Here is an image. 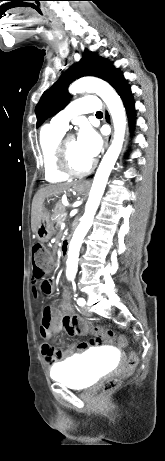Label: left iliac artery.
I'll return each mask as SVG.
<instances>
[{"label":"left iliac artery","mask_w":165,"mask_h":461,"mask_svg":"<svg viewBox=\"0 0 165 461\" xmlns=\"http://www.w3.org/2000/svg\"><path fill=\"white\" fill-rule=\"evenodd\" d=\"M77 304H78L79 306H84V305H85V300H84L83 298H79V299L77 300Z\"/></svg>","instance_id":"left-iliac-artery-1"}]
</instances>
